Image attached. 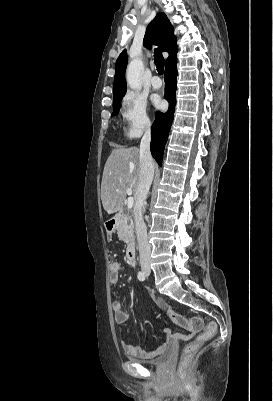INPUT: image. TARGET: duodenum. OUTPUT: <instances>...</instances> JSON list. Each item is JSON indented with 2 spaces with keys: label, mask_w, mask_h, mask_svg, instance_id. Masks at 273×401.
<instances>
[{
  "label": "duodenum",
  "mask_w": 273,
  "mask_h": 401,
  "mask_svg": "<svg viewBox=\"0 0 273 401\" xmlns=\"http://www.w3.org/2000/svg\"><path fill=\"white\" fill-rule=\"evenodd\" d=\"M123 217L122 214H117L110 218V220L106 224L107 232L108 233H113L115 230V227L118 223V221ZM127 261L130 265L134 266L136 264V246L134 243H130L127 252Z\"/></svg>",
  "instance_id": "obj_1"
}]
</instances>
